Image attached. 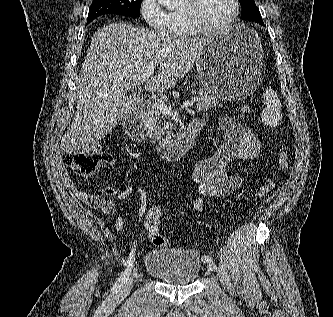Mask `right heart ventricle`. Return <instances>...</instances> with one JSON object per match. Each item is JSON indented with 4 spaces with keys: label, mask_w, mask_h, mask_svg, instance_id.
I'll return each instance as SVG.
<instances>
[{
    "label": "right heart ventricle",
    "mask_w": 333,
    "mask_h": 317,
    "mask_svg": "<svg viewBox=\"0 0 333 317\" xmlns=\"http://www.w3.org/2000/svg\"><path fill=\"white\" fill-rule=\"evenodd\" d=\"M171 17L172 29L170 33L173 37L186 39L196 35V33L189 28L179 11L172 12Z\"/></svg>",
    "instance_id": "1"
}]
</instances>
